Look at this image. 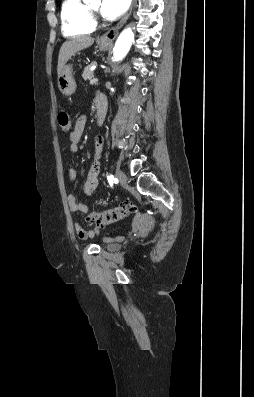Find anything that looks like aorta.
I'll return each instance as SVG.
<instances>
[{
    "mask_svg": "<svg viewBox=\"0 0 254 397\" xmlns=\"http://www.w3.org/2000/svg\"><path fill=\"white\" fill-rule=\"evenodd\" d=\"M90 1V0H88ZM134 40V33L131 28H127L119 35L114 47V60H122L128 53Z\"/></svg>",
    "mask_w": 254,
    "mask_h": 397,
    "instance_id": "1",
    "label": "aorta"
}]
</instances>
